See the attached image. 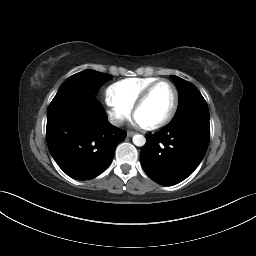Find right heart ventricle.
Here are the masks:
<instances>
[{
    "instance_id": "obj_1",
    "label": "right heart ventricle",
    "mask_w": 256,
    "mask_h": 256,
    "mask_svg": "<svg viewBox=\"0 0 256 256\" xmlns=\"http://www.w3.org/2000/svg\"><path fill=\"white\" fill-rule=\"evenodd\" d=\"M159 80L154 77L127 78L113 83L107 89V98L110 102L132 109L135 101L146 87Z\"/></svg>"
}]
</instances>
